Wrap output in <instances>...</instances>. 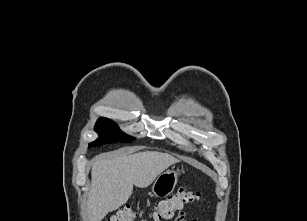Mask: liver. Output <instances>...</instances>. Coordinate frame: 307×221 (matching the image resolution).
I'll use <instances>...</instances> for the list:
<instances>
[{
	"label": "liver",
	"mask_w": 307,
	"mask_h": 221,
	"mask_svg": "<svg viewBox=\"0 0 307 221\" xmlns=\"http://www.w3.org/2000/svg\"><path fill=\"white\" fill-rule=\"evenodd\" d=\"M177 162L173 156L157 151L96 156L91 170L88 221H101L128 201L134 185L139 188L149 186L159 174Z\"/></svg>",
	"instance_id": "6515ba94"
}]
</instances>
